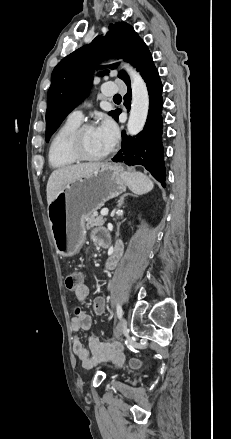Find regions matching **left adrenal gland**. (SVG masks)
<instances>
[{"mask_svg":"<svg viewBox=\"0 0 231 439\" xmlns=\"http://www.w3.org/2000/svg\"><path fill=\"white\" fill-rule=\"evenodd\" d=\"M128 194H124L123 196L120 197L119 201H118V206H121L124 202V197L127 196Z\"/></svg>","mask_w":231,"mask_h":439,"instance_id":"1","label":"left adrenal gland"}]
</instances>
